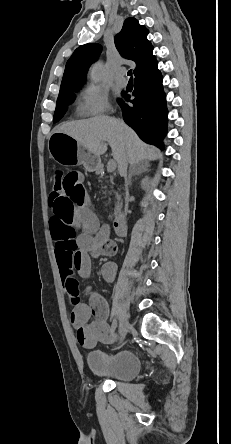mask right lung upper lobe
I'll list each match as a JSON object with an SVG mask.
<instances>
[{"instance_id":"right-lung-upper-lobe-1","label":"right lung upper lobe","mask_w":231,"mask_h":444,"mask_svg":"<svg viewBox=\"0 0 231 444\" xmlns=\"http://www.w3.org/2000/svg\"><path fill=\"white\" fill-rule=\"evenodd\" d=\"M148 30L135 18L125 20L122 30L115 36V45L119 53L136 63L135 77L151 70L158 62L152 54L153 46L147 40ZM102 50L101 45L88 43L78 47L68 60L60 92L80 88L85 81L89 66L96 60Z\"/></svg>"}]
</instances>
